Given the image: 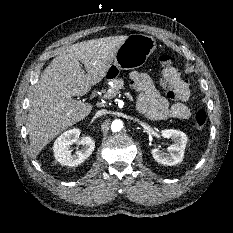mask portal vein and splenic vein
Wrapping results in <instances>:
<instances>
[{"instance_id":"portal-vein-and-splenic-vein-1","label":"portal vein and splenic vein","mask_w":233,"mask_h":233,"mask_svg":"<svg viewBox=\"0 0 233 233\" xmlns=\"http://www.w3.org/2000/svg\"><path fill=\"white\" fill-rule=\"evenodd\" d=\"M124 95L127 96V97L130 98V99L132 98L131 95H130L128 92H124ZM104 97L110 99V98H112L113 96L111 95V93H109V94H105Z\"/></svg>"}]
</instances>
